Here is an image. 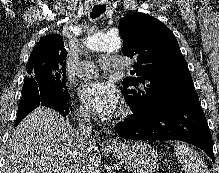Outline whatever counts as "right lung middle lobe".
<instances>
[{
	"label": "right lung middle lobe",
	"instance_id": "obj_1",
	"mask_svg": "<svg viewBox=\"0 0 219 173\" xmlns=\"http://www.w3.org/2000/svg\"><path fill=\"white\" fill-rule=\"evenodd\" d=\"M26 69L23 94L43 88L55 92L61 100L69 101L70 95L65 83L66 69L58 64L29 60Z\"/></svg>",
	"mask_w": 219,
	"mask_h": 173
}]
</instances>
